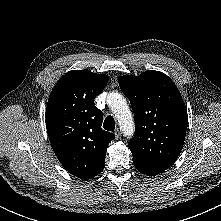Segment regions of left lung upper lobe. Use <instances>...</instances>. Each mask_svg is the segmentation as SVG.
<instances>
[{"instance_id":"obj_1","label":"left lung upper lobe","mask_w":221,"mask_h":221,"mask_svg":"<svg viewBox=\"0 0 221 221\" xmlns=\"http://www.w3.org/2000/svg\"><path fill=\"white\" fill-rule=\"evenodd\" d=\"M135 115L136 132L129 142L133 162L153 168H169L185 140L187 109L176 85L166 74L145 71L119 78Z\"/></svg>"}]
</instances>
